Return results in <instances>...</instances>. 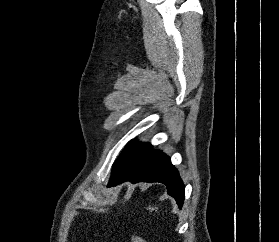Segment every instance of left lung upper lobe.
<instances>
[{
    "label": "left lung upper lobe",
    "mask_w": 279,
    "mask_h": 242,
    "mask_svg": "<svg viewBox=\"0 0 279 242\" xmlns=\"http://www.w3.org/2000/svg\"><path fill=\"white\" fill-rule=\"evenodd\" d=\"M151 150L152 146L149 143H139L134 140L128 142L126 148L121 152L119 158L113 164L112 175L108 186L119 180L133 164L138 162Z\"/></svg>",
    "instance_id": "left-lung-upper-lobe-1"
}]
</instances>
